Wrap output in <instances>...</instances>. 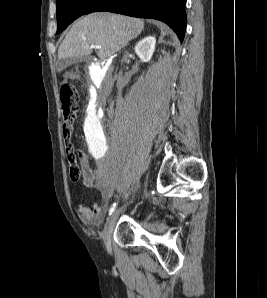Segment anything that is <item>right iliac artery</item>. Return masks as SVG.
Here are the masks:
<instances>
[{
  "label": "right iliac artery",
  "mask_w": 267,
  "mask_h": 298,
  "mask_svg": "<svg viewBox=\"0 0 267 298\" xmlns=\"http://www.w3.org/2000/svg\"><path fill=\"white\" fill-rule=\"evenodd\" d=\"M117 204H118L117 202L113 203V205H112L111 208L109 209V215L112 214V212L115 210Z\"/></svg>",
  "instance_id": "1"
}]
</instances>
